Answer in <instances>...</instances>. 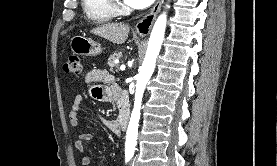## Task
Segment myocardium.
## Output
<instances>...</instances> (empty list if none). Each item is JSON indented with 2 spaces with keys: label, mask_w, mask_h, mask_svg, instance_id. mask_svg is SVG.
Instances as JSON below:
<instances>
[{
  "label": "myocardium",
  "mask_w": 277,
  "mask_h": 166,
  "mask_svg": "<svg viewBox=\"0 0 277 166\" xmlns=\"http://www.w3.org/2000/svg\"><path fill=\"white\" fill-rule=\"evenodd\" d=\"M112 4V6L118 10L121 8L122 4H121V1L120 0H109Z\"/></svg>",
  "instance_id": "obj_1"
}]
</instances>
